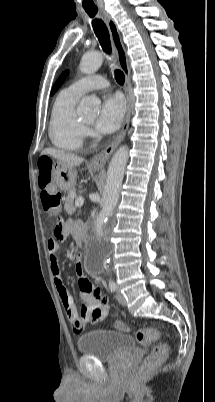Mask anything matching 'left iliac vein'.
Here are the masks:
<instances>
[{
	"label": "left iliac vein",
	"mask_w": 215,
	"mask_h": 402,
	"mask_svg": "<svg viewBox=\"0 0 215 402\" xmlns=\"http://www.w3.org/2000/svg\"><path fill=\"white\" fill-rule=\"evenodd\" d=\"M116 299L119 302V304L126 305V299L123 296V294H121L119 291H117V293H116Z\"/></svg>",
	"instance_id": "4c4485c4"
}]
</instances>
